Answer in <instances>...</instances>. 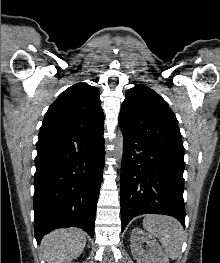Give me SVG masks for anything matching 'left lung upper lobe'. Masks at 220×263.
<instances>
[{
	"label": "left lung upper lobe",
	"instance_id": "left-lung-upper-lobe-1",
	"mask_svg": "<svg viewBox=\"0 0 220 263\" xmlns=\"http://www.w3.org/2000/svg\"><path fill=\"white\" fill-rule=\"evenodd\" d=\"M119 124L123 130L184 155L175 114L162 97L145 85H135L126 92Z\"/></svg>",
	"mask_w": 220,
	"mask_h": 263
}]
</instances>
